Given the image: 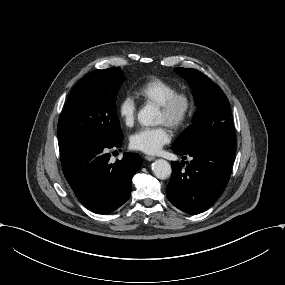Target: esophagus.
<instances>
[{"label": "esophagus", "instance_id": "34e87169", "mask_svg": "<svg viewBox=\"0 0 285 285\" xmlns=\"http://www.w3.org/2000/svg\"><path fill=\"white\" fill-rule=\"evenodd\" d=\"M145 159L147 160V161H153L154 159H155V157L154 156H145Z\"/></svg>", "mask_w": 285, "mask_h": 285}]
</instances>
